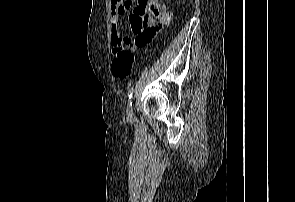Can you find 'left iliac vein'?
I'll return each instance as SVG.
<instances>
[{
  "instance_id": "obj_1",
  "label": "left iliac vein",
  "mask_w": 295,
  "mask_h": 202,
  "mask_svg": "<svg viewBox=\"0 0 295 202\" xmlns=\"http://www.w3.org/2000/svg\"><path fill=\"white\" fill-rule=\"evenodd\" d=\"M127 116L128 118L133 117V106H132V101H129L127 104Z\"/></svg>"
}]
</instances>
